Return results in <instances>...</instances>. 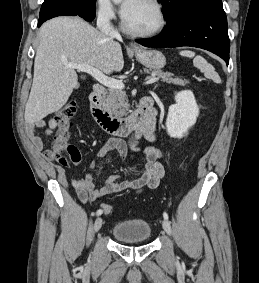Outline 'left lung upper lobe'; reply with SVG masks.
I'll return each mask as SVG.
<instances>
[{
  "label": "left lung upper lobe",
  "mask_w": 259,
  "mask_h": 283,
  "mask_svg": "<svg viewBox=\"0 0 259 283\" xmlns=\"http://www.w3.org/2000/svg\"><path fill=\"white\" fill-rule=\"evenodd\" d=\"M162 3L164 17L167 19L168 25L173 24L185 17L198 7L207 3L221 0H158Z\"/></svg>",
  "instance_id": "1"
}]
</instances>
